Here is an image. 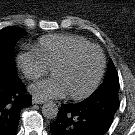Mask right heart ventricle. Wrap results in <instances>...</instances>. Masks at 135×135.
<instances>
[{
	"mask_svg": "<svg viewBox=\"0 0 135 135\" xmlns=\"http://www.w3.org/2000/svg\"><path fill=\"white\" fill-rule=\"evenodd\" d=\"M86 39L70 34H50L41 37L35 46L45 64L51 68L58 60L79 46L90 45Z\"/></svg>",
	"mask_w": 135,
	"mask_h": 135,
	"instance_id": "e07e8e85",
	"label": "right heart ventricle"
}]
</instances>
